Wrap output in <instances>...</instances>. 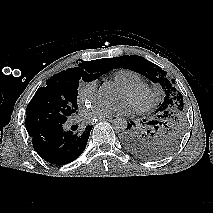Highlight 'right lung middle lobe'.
Masks as SVG:
<instances>
[{
	"label": "right lung middle lobe",
	"instance_id": "1",
	"mask_svg": "<svg viewBox=\"0 0 213 213\" xmlns=\"http://www.w3.org/2000/svg\"><path fill=\"white\" fill-rule=\"evenodd\" d=\"M105 72L79 64L52 76L39 88L26 109L25 125L30 136L45 127L63 124L76 113L79 81L90 82Z\"/></svg>",
	"mask_w": 213,
	"mask_h": 213
}]
</instances>
